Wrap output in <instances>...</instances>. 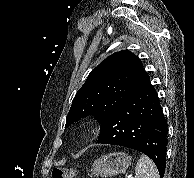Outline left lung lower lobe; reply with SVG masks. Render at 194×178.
I'll return each mask as SVG.
<instances>
[{"instance_id": "left-lung-lower-lobe-1", "label": "left lung lower lobe", "mask_w": 194, "mask_h": 178, "mask_svg": "<svg viewBox=\"0 0 194 178\" xmlns=\"http://www.w3.org/2000/svg\"><path fill=\"white\" fill-rule=\"evenodd\" d=\"M167 133V121L151 85L128 97L105 117L96 143L124 146L144 153L154 161L163 178Z\"/></svg>"}]
</instances>
